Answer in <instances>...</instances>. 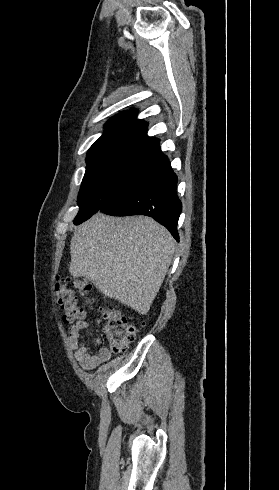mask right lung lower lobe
Instances as JSON below:
<instances>
[{
  "instance_id": "obj_1",
  "label": "right lung lower lobe",
  "mask_w": 279,
  "mask_h": 490,
  "mask_svg": "<svg viewBox=\"0 0 279 490\" xmlns=\"http://www.w3.org/2000/svg\"><path fill=\"white\" fill-rule=\"evenodd\" d=\"M158 165L159 169L148 178L109 195L99 211L112 216H150L178 241L177 224L182 211L176 192L178 179L168 158Z\"/></svg>"
}]
</instances>
